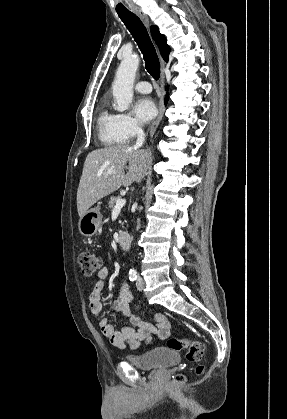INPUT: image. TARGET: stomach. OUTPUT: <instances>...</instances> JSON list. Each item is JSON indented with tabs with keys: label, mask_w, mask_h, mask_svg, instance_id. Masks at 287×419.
Wrapping results in <instances>:
<instances>
[{
	"label": "stomach",
	"mask_w": 287,
	"mask_h": 419,
	"mask_svg": "<svg viewBox=\"0 0 287 419\" xmlns=\"http://www.w3.org/2000/svg\"><path fill=\"white\" fill-rule=\"evenodd\" d=\"M102 222V214L100 208L94 207L89 209L79 220V231L86 237H92L99 231Z\"/></svg>",
	"instance_id": "0dacf381"
}]
</instances>
